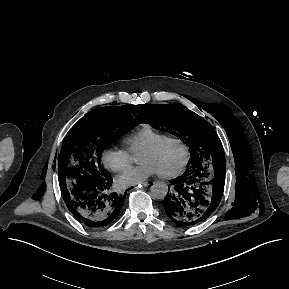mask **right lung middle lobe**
<instances>
[{
	"label": "right lung middle lobe",
	"instance_id": "1",
	"mask_svg": "<svg viewBox=\"0 0 289 289\" xmlns=\"http://www.w3.org/2000/svg\"><path fill=\"white\" fill-rule=\"evenodd\" d=\"M139 105L97 108L80 119L66 135L58 162L63 194H72L104 181L110 173L100 154L112 142L138 125L132 115Z\"/></svg>",
	"mask_w": 289,
	"mask_h": 289
}]
</instances>
